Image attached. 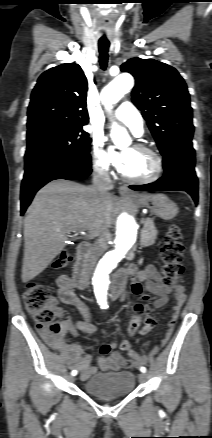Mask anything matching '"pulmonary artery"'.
<instances>
[{"instance_id":"pulmonary-artery-1","label":"pulmonary artery","mask_w":212,"mask_h":438,"mask_svg":"<svg viewBox=\"0 0 212 438\" xmlns=\"http://www.w3.org/2000/svg\"><path fill=\"white\" fill-rule=\"evenodd\" d=\"M114 118L128 126L136 135L143 133V119L138 109L129 102H123L114 112Z\"/></svg>"}]
</instances>
